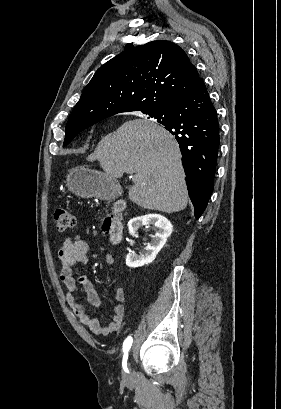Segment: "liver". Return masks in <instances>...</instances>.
<instances>
[{"label": "liver", "mask_w": 281, "mask_h": 409, "mask_svg": "<svg viewBox=\"0 0 281 409\" xmlns=\"http://www.w3.org/2000/svg\"><path fill=\"white\" fill-rule=\"evenodd\" d=\"M87 160H99L105 174H133L129 198L142 209L178 213L186 209L188 190L178 144L154 120L135 118L101 138Z\"/></svg>", "instance_id": "liver-1"}]
</instances>
